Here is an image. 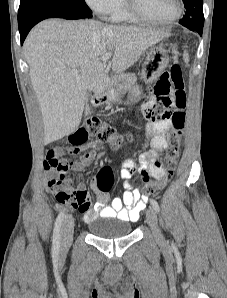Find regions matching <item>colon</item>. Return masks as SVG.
I'll return each mask as SVG.
<instances>
[{
	"label": "colon",
	"instance_id": "colon-1",
	"mask_svg": "<svg viewBox=\"0 0 227 298\" xmlns=\"http://www.w3.org/2000/svg\"><path fill=\"white\" fill-rule=\"evenodd\" d=\"M174 57L178 55V48L173 49ZM169 72H171V77L169 82L174 88L173 93V103H151L155 104V107H159V112L157 115H146L147 117H169V121L172 124V128L175 130H180L184 127L185 123V105H186V93L184 90L183 75L180 66L174 63ZM165 104H172L174 110H172V115H161V110L165 109ZM90 138H96L99 142H105L117 148L121 145L123 139L117 133L116 129L108 123H105L98 118L89 119L85 125L77 129L69 138L71 146H85V143ZM170 147L168 150L167 158L162 162L163 167L166 169L167 173L165 177L160 179L156 183H152L145 188L146 195L156 194L160 189L164 187L170 175L172 174L174 157L177 150V134L173 132L169 137ZM95 143V142H93ZM94 147V146H93ZM90 148V147H88ZM49 153V152H48ZM113 173L110 167L104 166L100 169L97 176V190L100 192H108L113 185ZM51 186L56 187V183H52ZM55 197L58 202L68 205H76L82 200V195L69 191L63 188H56Z\"/></svg>",
	"mask_w": 227,
	"mask_h": 298
}]
</instances>
